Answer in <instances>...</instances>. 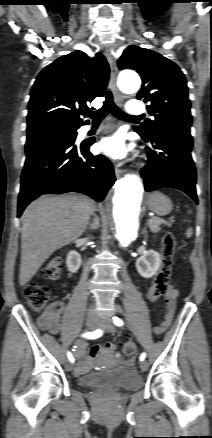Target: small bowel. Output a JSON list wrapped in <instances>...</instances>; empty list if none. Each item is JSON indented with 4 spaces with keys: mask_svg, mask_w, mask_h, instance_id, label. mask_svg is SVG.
I'll return each instance as SVG.
<instances>
[{
    "mask_svg": "<svg viewBox=\"0 0 212 438\" xmlns=\"http://www.w3.org/2000/svg\"><path fill=\"white\" fill-rule=\"evenodd\" d=\"M178 298V291L169 286L167 293L164 296V313L162 321L155 326L154 331L157 334L164 333L170 326L176 308V302ZM64 311V305L60 301L53 302L48 306L45 312L39 318V324L51 334H56L60 329V318ZM116 350V346L112 343H107L104 346L94 345L90 348L89 357L86 356V344L79 342L77 344L76 356L79 359H84L75 369V375H82L87 373L91 368V359L99 356L101 353H113Z\"/></svg>",
    "mask_w": 212,
    "mask_h": 438,
    "instance_id": "obj_1",
    "label": "small bowel"
}]
</instances>
